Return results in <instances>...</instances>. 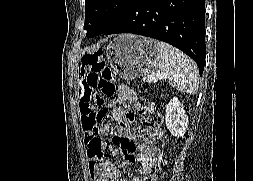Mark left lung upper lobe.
<instances>
[{
  "label": "left lung upper lobe",
  "mask_w": 253,
  "mask_h": 181,
  "mask_svg": "<svg viewBox=\"0 0 253 181\" xmlns=\"http://www.w3.org/2000/svg\"><path fill=\"white\" fill-rule=\"evenodd\" d=\"M132 0H85V24L87 37L104 33L127 10Z\"/></svg>",
  "instance_id": "1"
}]
</instances>
